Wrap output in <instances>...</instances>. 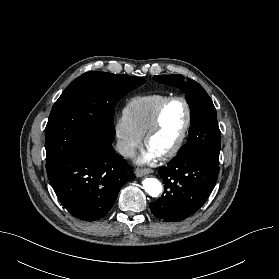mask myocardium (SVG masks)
<instances>
[{"label":"myocardium","instance_id":"f54148a6","mask_svg":"<svg viewBox=\"0 0 279 279\" xmlns=\"http://www.w3.org/2000/svg\"><path fill=\"white\" fill-rule=\"evenodd\" d=\"M174 101H181L185 105L186 121H185L183 130H182L179 138L176 140V142L166 152L158 155L162 159H167V158H170V157H173L174 155H176L186 140V137L188 135V132H189V129L191 126V122H192V109H191V105H190L189 101L184 96H172V97H169L168 99H166L158 107L149 128L147 129V131L144 134V143L148 147L151 137L157 132V130L159 129V127L161 125L162 116H163V113H164L166 107Z\"/></svg>","mask_w":279,"mask_h":279}]
</instances>
